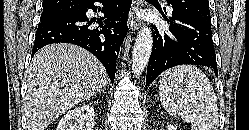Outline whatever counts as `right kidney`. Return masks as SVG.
Here are the masks:
<instances>
[{"mask_svg": "<svg viewBox=\"0 0 249 130\" xmlns=\"http://www.w3.org/2000/svg\"><path fill=\"white\" fill-rule=\"evenodd\" d=\"M94 118L93 107L83 104L67 112L59 121L57 130H93Z\"/></svg>", "mask_w": 249, "mask_h": 130, "instance_id": "obj_1", "label": "right kidney"}]
</instances>
